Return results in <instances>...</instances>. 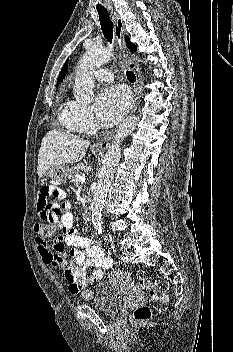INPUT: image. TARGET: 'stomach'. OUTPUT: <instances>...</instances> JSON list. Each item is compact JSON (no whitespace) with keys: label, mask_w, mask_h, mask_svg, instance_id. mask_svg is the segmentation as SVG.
<instances>
[{"label":"stomach","mask_w":233,"mask_h":352,"mask_svg":"<svg viewBox=\"0 0 233 352\" xmlns=\"http://www.w3.org/2000/svg\"><path fill=\"white\" fill-rule=\"evenodd\" d=\"M68 168L65 165H56L46 171V175L58 184H63L67 180Z\"/></svg>","instance_id":"0dacf381"}]
</instances>
